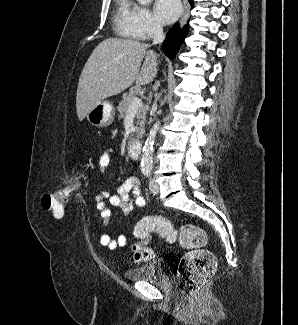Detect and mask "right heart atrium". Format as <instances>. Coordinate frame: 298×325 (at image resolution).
I'll list each match as a JSON object with an SVG mask.
<instances>
[{
  "instance_id": "obj_1",
  "label": "right heart atrium",
  "mask_w": 298,
  "mask_h": 325,
  "mask_svg": "<svg viewBox=\"0 0 298 325\" xmlns=\"http://www.w3.org/2000/svg\"><path fill=\"white\" fill-rule=\"evenodd\" d=\"M134 23L137 25H130V30H128V37H131V41H152V30H161L145 5L134 7Z\"/></svg>"
}]
</instances>
